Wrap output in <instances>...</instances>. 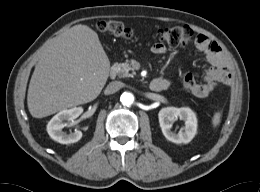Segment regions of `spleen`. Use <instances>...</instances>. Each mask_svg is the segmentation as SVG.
Segmentation results:
<instances>
[{
    "label": "spleen",
    "instance_id": "spleen-1",
    "mask_svg": "<svg viewBox=\"0 0 260 192\" xmlns=\"http://www.w3.org/2000/svg\"><path fill=\"white\" fill-rule=\"evenodd\" d=\"M220 121H221V113L220 112H216L213 115V118H212V125H213V127H217L220 124Z\"/></svg>",
    "mask_w": 260,
    "mask_h": 192
}]
</instances>
